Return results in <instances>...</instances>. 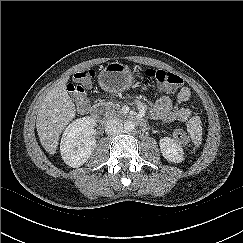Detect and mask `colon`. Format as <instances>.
<instances>
[{
  "instance_id": "1",
  "label": "colon",
  "mask_w": 243,
  "mask_h": 243,
  "mask_svg": "<svg viewBox=\"0 0 243 243\" xmlns=\"http://www.w3.org/2000/svg\"><path fill=\"white\" fill-rule=\"evenodd\" d=\"M145 74L149 79L156 81L168 90H175L183 83L180 76L165 70L147 69ZM94 76L95 71L93 69L79 71L73 75L72 82L68 85V91L72 94L77 106L80 108L87 105L85 86L91 83ZM171 133L180 143H187L189 141L187 132L180 126H172Z\"/></svg>"
}]
</instances>
